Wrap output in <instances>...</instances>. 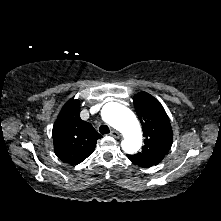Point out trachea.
Masks as SVG:
<instances>
[{"instance_id":"trachea-1","label":"trachea","mask_w":221,"mask_h":221,"mask_svg":"<svg viewBox=\"0 0 221 221\" xmlns=\"http://www.w3.org/2000/svg\"><path fill=\"white\" fill-rule=\"evenodd\" d=\"M99 132L104 135V134H108L110 132L109 127L107 125H101L99 127Z\"/></svg>"}]
</instances>
